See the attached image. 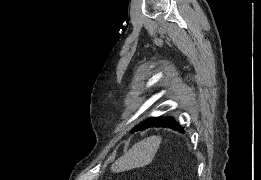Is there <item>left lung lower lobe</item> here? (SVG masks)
I'll return each instance as SVG.
<instances>
[{
    "mask_svg": "<svg viewBox=\"0 0 261 180\" xmlns=\"http://www.w3.org/2000/svg\"><path fill=\"white\" fill-rule=\"evenodd\" d=\"M151 127H164V128H169V129L178 130L180 132H184L183 128L172 117H164V118L159 117L153 124H151L147 128H151Z\"/></svg>",
    "mask_w": 261,
    "mask_h": 180,
    "instance_id": "obj_1",
    "label": "left lung lower lobe"
}]
</instances>
